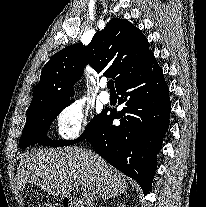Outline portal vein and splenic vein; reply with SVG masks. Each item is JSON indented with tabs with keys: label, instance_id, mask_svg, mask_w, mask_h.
<instances>
[{
	"label": "portal vein and splenic vein",
	"instance_id": "obj_1",
	"mask_svg": "<svg viewBox=\"0 0 206 207\" xmlns=\"http://www.w3.org/2000/svg\"><path fill=\"white\" fill-rule=\"evenodd\" d=\"M74 186H75V188H77V184H76V183H74ZM80 197H81V200L84 201V202L87 204V200H85V199L83 198L82 194H81Z\"/></svg>",
	"mask_w": 206,
	"mask_h": 207
}]
</instances>
